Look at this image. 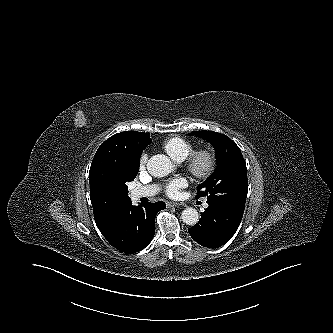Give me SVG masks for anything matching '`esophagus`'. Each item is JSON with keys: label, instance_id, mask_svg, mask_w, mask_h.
<instances>
[{"label": "esophagus", "instance_id": "obj_1", "mask_svg": "<svg viewBox=\"0 0 333 333\" xmlns=\"http://www.w3.org/2000/svg\"><path fill=\"white\" fill-rule=\"evenodd\" d=\"M180 205H184V204H182V203H177V202H166V206H167L168 208H170V207H176V206H180Z\"/></svg>", "mask_w": 333, "mask_h": 333}]
</instances>
